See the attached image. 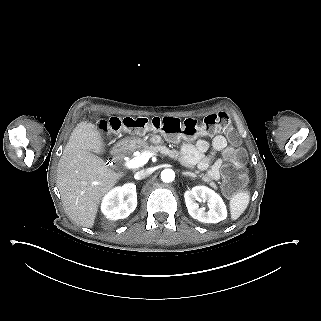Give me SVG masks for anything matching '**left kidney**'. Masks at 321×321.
<instances>
[{"label": "left kidney", "mask_w": 321, "mask_h": 321, "mask_svg": "<svg viewBox=\"0 0 321 321\" xmlns=\"http://www.w3.org/2000/svg\"><path fill=\"white\" fill-rule=\"evenodd\" d=\"M188 213L194 219L203 223H218L227 218V209L222 198L206 186H195L184 194ZM196 201H206L209 211L199 208Z\"/></svg>", "instance_id": "obj_1"}]
</instances>
